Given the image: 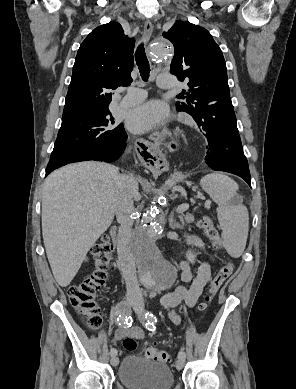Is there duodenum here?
Listing matches in <instances>:
<instances>
[{"mask_svg":"<svg viewBox=\"0 0 296 389\" xmlns=\"http://www.w3.org/2000/svg\"><path fill=\"white\" fill-rule=\"evenodd\" d=\"M110 233L114 239V247L116 250L117 257L120 262H124L129 257V248L127 241L118 237L116 228L114 227L111 229Z\"/></svg>","mask_w":296,"mask_h":389,"instance_id":"410a0bca","label":"duodenum"}]
</instances>
